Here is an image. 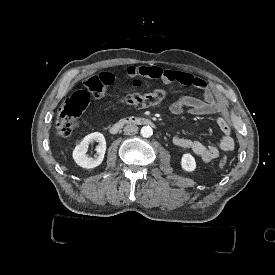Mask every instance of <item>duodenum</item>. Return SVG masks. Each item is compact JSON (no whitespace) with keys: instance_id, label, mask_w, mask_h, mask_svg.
I'll list each match as a JSON object with an SVG mask.
<instances>
[{"instance_id":"obj_1","label":"duodenum","mask_w":275,"mask_h":275,"mask_svg":"<svg viewBox=\"0 0 275 275\" xmlns=\"http://www.w3.org/2000/svg\"><path fill=\"white\" fill-rule=\"evenodd\" d=\"M129 125H134V126H153L154 121L148 117H143V116H132L128 118H124L122 120H119L112 124L109 128V132L111 134H116L118 133L124 126H129Z\"/></svg>"}]
</instances>
